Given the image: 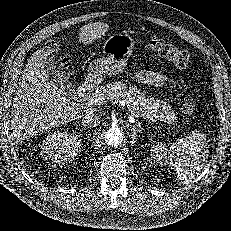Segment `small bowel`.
Listing matches in <instances>:
<instances>
[{"label":"small bowel","mask_w":231,"mask_h":231,"mask_svg":"<svg viewBox=\"0 0 231 231\" xmlns=\"http://www.w3.org/2000/svg\"><path fill=\"white\" fill-rule=\"evenodd\" d=\"M135 80L139 83L152 87H162L173 83L171 78L151 69H143L139 71L135 75Z\"/></svg>","instance_id":"obj_1"}]
</instances>
